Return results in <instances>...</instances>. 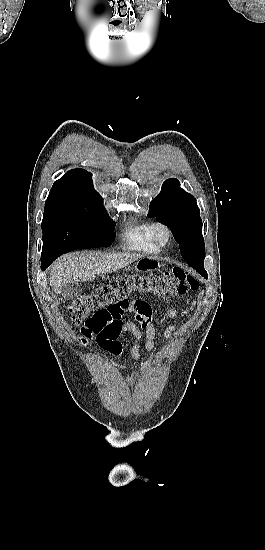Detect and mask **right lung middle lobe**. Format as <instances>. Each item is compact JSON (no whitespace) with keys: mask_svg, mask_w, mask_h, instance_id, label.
Here are the masks:
<instances>
[{"mask_svg":"<svg viewBox=\"0 0 265 550\" xmlns=\"http://www.w3.org/2000/svg\"><path fill=\"white\" fill-rule=\"evenodd\" d=\"M114 227L103 199L45 202L41 259L53 262L71 250L108 247L114 239Z\"/></svg>","mask_w":265,"mask_h":550,"instance_id":"dd1d6c3e","label":"right lung middle lobe"}]
</instances>
